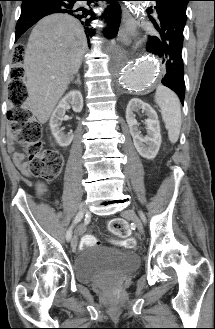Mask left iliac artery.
Listing matches in <instances>:
<instances>
[{"label": "left iliac artery", "instance_id": "44dca946", "mask_svg": "<svg viewBox=\"0 0 215 329\" xmlns=\"http://www.w3.org/2000/svg\"><path fill=\"white\" fill-rule=\"evenodd\" d=\"M140 217L142 218L143 222L146 221L145 216H144V214L142 212H140Z\"/></svg>", "mask_w": 215, "mask_h": 329}]
</instances>
